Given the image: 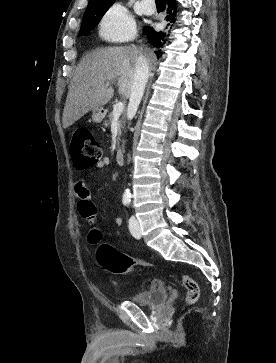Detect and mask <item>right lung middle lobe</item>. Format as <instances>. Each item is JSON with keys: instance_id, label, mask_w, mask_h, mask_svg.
Masks as SVG:
<instances>
[{"instance_id": "dd1d6c3e", "label": "right lung middle lobe", "mask_w": 276, "mask_h": 363, "mask_svg": "<svg viewBox=\"0 0 276 363\" xmlns=\"http://www.w3.org/2000/svg\"><path fill=\"white\" fill-rule=\"evenodd\" d=\"M112 4L113 3L88 5V7L83 15V21H82V25H81L79 34L86 35L91 30H93L98 25L101 18L103 17V15L106 13L108 8Z\"/></svg>"}]
</instances>
